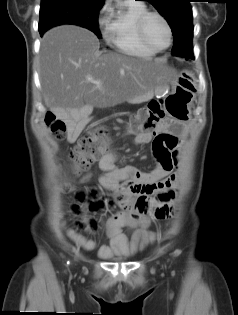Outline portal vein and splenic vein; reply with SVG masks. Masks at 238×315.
Returning a JSON list of instances; mask_svg holds the SVG:
<instances>
[{
    "label": "portal vein and splenic vein",
    "instance_id": "1",
    "mask_svg": "<svg viewBox=\"0 0 238 315\" xmlns=\"http://www.w3.org/2000/svg\"><path fill=\"white\" fill-rule=\"evenodd\" d=\"M87 81H89V82H93L94 80H93V78H92V77H87Z\"/></svg>",
    "mask_w": 238,
    "mask_h": 315
}]
</instances>
